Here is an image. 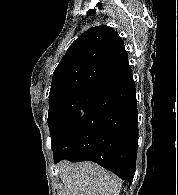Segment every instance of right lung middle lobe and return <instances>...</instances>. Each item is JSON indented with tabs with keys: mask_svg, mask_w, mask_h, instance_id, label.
Returning <instances> with one entry per match:
<instances>
[{
	"mask_svg": "<svg viewBox=\"0 0 178 195\" xmlns=\"http://www.w3.org/2000/svg\"><path fill=\"white\" fill-rule=\"evenodd\" d=\"M96 95L97 93L80 91L61 94L49 99L48 125L53 151L81 120Z\"/></svg>",
	"mask_w": 178,
	"mask_h": 195,
	"instance_id": "obj_1",
	"label": "right lung middle lobe"
}]
</instances>
